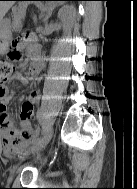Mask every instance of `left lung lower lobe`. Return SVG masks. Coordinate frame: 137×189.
<instances>
[{
  "instance_id": "obj_1",
  "label": "left lung lower lobe",
  "mask_w": 137,
  "mask_h": 189,
  "mask_svg": "<svg viewBox=\"0 0 137 189\" xmlns=\"http://www.w3.org/2000/svg\"><path fill=\"white\" fill-rule=\"evenodd\" d=\"M65 1H79V0H65Z\"/></svg>"
}]
</instances>
